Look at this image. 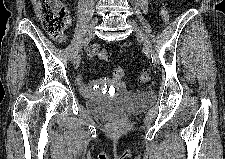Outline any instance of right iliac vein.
I'll return each instance as SVG.
<instances>
[{"instance_id":"63e3f726","label":"right iliac vein","mask_w":225,"mask_h":159,"mask_svg":"<svg viewBox=\"0 0 225 159\" xmlns=\"http://www.w3.org/2000/svg\"><path fill=\"white\" fill-rule=\"evenodd\" d=\"M98 24V18L97 17H94L90 23V26H89V29H88V33H87V36L88 38H91L93 36V32H94V29L96 27V25ZM73 64L74 66L77 68L80 64V55H76L73 59Z\"/></svg>"}]
</instances>
